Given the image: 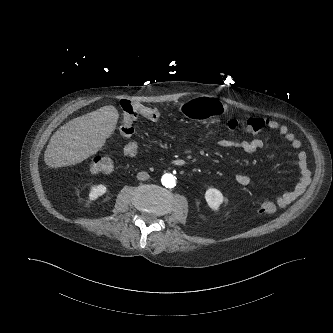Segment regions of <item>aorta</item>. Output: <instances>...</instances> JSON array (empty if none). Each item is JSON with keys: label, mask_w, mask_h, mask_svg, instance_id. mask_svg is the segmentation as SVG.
<instances>
[{"label": "aorta", "mask_w": 333, "mask_h": 333, "mask_svg": "<svg viewBox=\"0 0 333 333\" xmlns=\"http://www.w3.org/2000/svg\"><path fill=\"white\" fill-rule=\"evenodd\" d=\"M162 184L166 187V188H172L175 186L176 182H175V178L173 175L171 174H165L162 176Z\"/></svg>", "instance_id": "aorta-1"}]
</instances>
